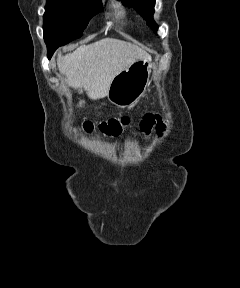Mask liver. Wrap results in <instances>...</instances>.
Masks as SVG:
<instances>
[{"label":"liver","mask_w":240,"mask_h":288,"mask_svg":"<svg viewBox=\"0 0 240 288\" xmlns=\"http://www.w3.org/2000/svg\"><path fill=\"white\" fill-rule=\"evenodd\" d=\"M138 59L150 61L151 56L129 42L104 38L65 56L59 53L57 65L69 86L84 88L90 99L97 100L107 96L114 77Z\"/></svg>","instance_id":"obj_1"}]
</instances>
